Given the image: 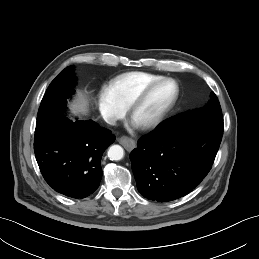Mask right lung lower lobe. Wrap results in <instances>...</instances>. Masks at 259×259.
<instances>
[{
	"instance_id": "right-lung-lower-lobe-1",
	"label": "right lung lower lobe",
	"mask_w": 259,
	"mask_h": 259,
	"mask_svg": "<svg viewBox=\"0 0 259 259\" xmlns=\"http://www.w3.org/2000/svg\"><path fill=\"white\" fill-rule=\"evenodd\" d=\"M115 141L93 121L51 117L35 131L34 152L42 176L55 191L75 199L92 194L102 178L101 157Z\"/></svg>"
}]
</instances>
